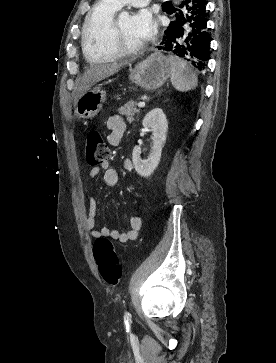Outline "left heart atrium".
<instances>
[{
    "label": "left heart atrium",
    "mask_w": 276,
    "mask_h": 363,
    "mask_svg": "<svg viewBox=\"0 0 276 363\" xmlns=\"http://www.w3.org/2000/svg\"><path fill=\"white\" fill-rule=\"evenodd\" d=\"M133 21L138 33L145 41L155 35L157 22L149 11H139L133 16Z\"/></svg>",
    "instance_id": "obj_1"
}]
</instances>
